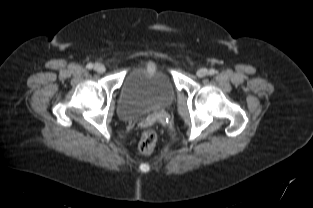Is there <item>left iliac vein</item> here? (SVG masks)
Here are the masks:
<instances>
[{
    "instance_id": "obj_1",
    "label": "left iliac vein",
    "mask_w": 313,
    "mask_h": 208,
    "mask_svg": "<svg viewBox=\"0 0 313 208\" xmlns=\"http://www.w3.org/2000/svg\"><path fill=\"white\" fill-rule=\"evenodd\" d=\"M206 75H208V70L205 68H201L197 71V76L200 78L205 77Z\"/></svg>"
}]
</instances>
